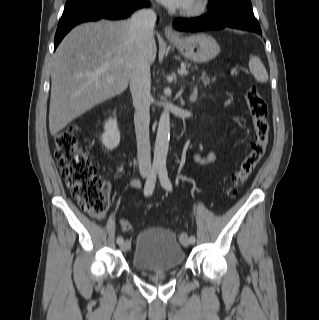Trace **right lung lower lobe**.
Segmentation results:
<instances>
[{
  "instance_id": "98d812e1",
  "label": "right lung lower lobe",
  "mask_w": 319,
  "mask_h": 320,
  "mask_svg": "<svg viewBox=\"0 0 319 320\" xmlns=\"http://www.w3.org/2000/svg\"><path fill=\"white\" fill-rule=\"evenodd\" d=\"M147 5V0H92L73 10L64 11L55 34L54 49L74 26L82 22L126 18L137 8Z\"/></svg>"
}]
</instances>
